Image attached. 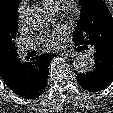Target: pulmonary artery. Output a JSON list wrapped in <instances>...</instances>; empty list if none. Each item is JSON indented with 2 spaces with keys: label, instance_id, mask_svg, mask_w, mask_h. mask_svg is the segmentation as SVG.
<instances>
[{
  "label": "pulmonary artery",
  "instance_id": "1",
  "mask_svg": "<svg viewBox=\"0 0 113 113\" xmlns=\"http://www.w3.org/2000/svg\"><path fill=\"white\" fill-rule=\"evenodd\" d=\"M34 49V45L30 43H24L19 46V51L21 53H27L28 51H31Z\"/></svg>",
  "mask_w": 113,
  "mask_h": 113
}]
</instances>
